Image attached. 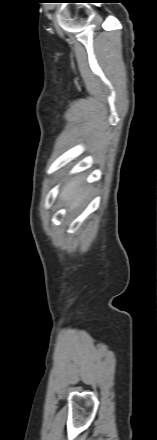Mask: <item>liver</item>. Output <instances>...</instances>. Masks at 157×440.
Segmentation results:
<instances>
[{
  "label": "liver",
  "mask_w": 157,
  "mask_h": 440,
  "mask_svg": "<svg viewBox=\"0 0 157 440\" xmlns=\"http://www.w3.org/2000/svg\"><path fill=\"white\" fill-rule=\"evenodd\" d=\"M89 189L83 186V178L77 176L62 187L59 199L68 206L69 211L77 209L87 199Z\"/></svg>",
  "instance_id": "liver-1"
}]
</instances>
